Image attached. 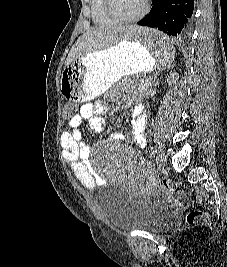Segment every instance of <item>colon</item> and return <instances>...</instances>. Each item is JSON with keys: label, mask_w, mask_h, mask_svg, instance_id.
Wrapping results in <instances>:
<instances>
[{"label": "colon", "mask_w": 227, "mask_h": 267, "mask_svg": "<svg viewBox=\"0 0 227 267\" xmlns=\"http://www.w3.org/2000/svg\"><path fill=\"white\" fill-rule=\"evenodd\" d=\"M64 114H62V119H73L75 116V111L77 109L76 105H65ZM162 188L169 192H179L180 186L169 178L162 179ZM187 222L190 225H206L209 223V216L201 210H191L187 214Z\"/></svg>", "instance_id": "5ec220e1"}]
</instances>
